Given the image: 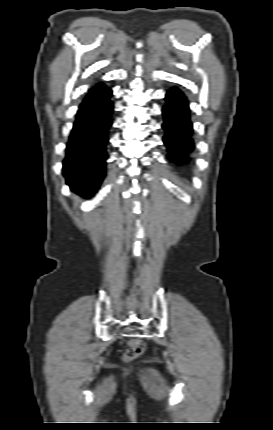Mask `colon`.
Here are the masks:
<instances>
[{
	"instance_id": "colon-1",
	"label": "colon",
	"mask_w": 273,
	"mask_h": 430,
	"mask_svg": "<svg viewBox=\"0 0 273 430\" xmlns=\"http://www.w3.org/2000/svg\"><path fill=\"white\" fill-rule=\"evenodd\" d=\"M145 350V343L140 339H131L128 342V348L124 358L126 361H132L139 357Z\"/></svg>"
}]
</instances>
